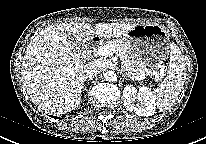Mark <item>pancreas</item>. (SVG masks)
Here are the masks:
<instances>
[{
	"instance_id": "cf45deb5",
	"label": "pancreas",
	"mask_w": 206,
	"mask_h": 144,
	"mask_svg": "<svg viewBox=\"0 0 206 144\" xmlns=\"http://www.w3.org/2000/svg\"><path fill=\"white\" fill-rule=\"evenodd\" d=\"M113 44L120 48V58L122 60L123 67L127 70L130 78L137 79L139 76H144L149 70L146 67H140L134 59H132L129 47L122 39L108 40L104 45ZM103 45V46H104Z\"/></svg>"
}]
</instances>
